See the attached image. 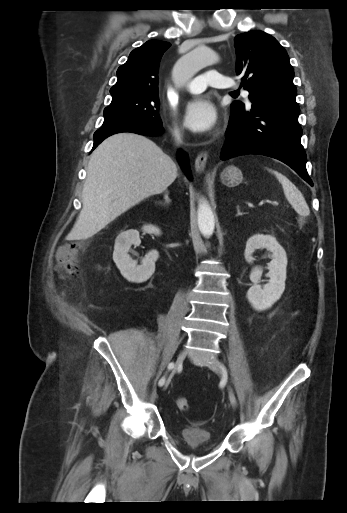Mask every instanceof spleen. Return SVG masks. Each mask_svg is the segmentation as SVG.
Listing matches in <instances>:
<instances>
[{
  "label": "spleen",
  "mask_w": 347,
  "mask_h": 513,
  "mask_svg": "<svg viewBox=\"0 0 347 513\" xmlns=\"http://www.w3.org/2000/svg\"><path fill=\"white\" fill-rule=\"evenodd\" d=\"M268 170L274 174L277 180L281 183L288 202L300 216L299 220H303L310 214V210L300 190L281 172L272 169Z\"/></svg>",
  "instance_id": "spleen-1"
}]
</instances>
